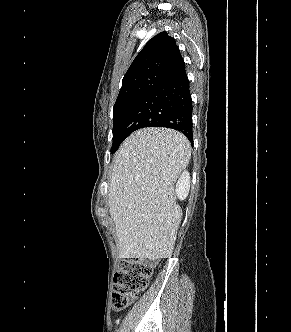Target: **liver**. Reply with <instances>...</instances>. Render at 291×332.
I'll use <instances>...</instances> for the list:
<instances>
[{
    "label": "liver",
    "mask_w": 291,
    "mask_h": 332,
    "mask_svg": "<svg viewBox=\"0 0 291 332\" xmlns=\"http://www.w3.org/2000/svg\"><path fill=\"white\" fill-rule=\"evenodd\" d=\"M190 157L188 139L168 128L140 129L122 143L108 193L119 258L171 257L182 218L174 184Z\"/></svg>",
    "instance_id": "obj_1"
}]
</instances>
